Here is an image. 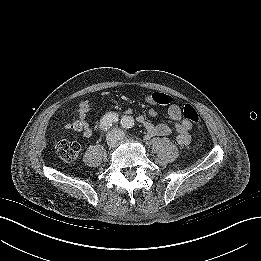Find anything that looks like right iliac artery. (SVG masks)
<instances>
[{
    "label": "right iliac artery",
    "instance_id": "82829eb1",
    "mask_svg": "<svg viewBox=\"0 0 261 261\" xmlns=\"http://www.w3.org/2000/svg\"><path fill=\"white\" fill-rule=\"evenodd\" d=\"M118 121V115L116 113H108L100 121L99 128L102 131H107L110 126L114 125Z\"/></svg>",
    "mask_w": 261,
    "mask_h": 261
}]
</instances>
